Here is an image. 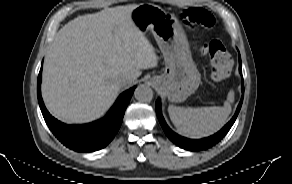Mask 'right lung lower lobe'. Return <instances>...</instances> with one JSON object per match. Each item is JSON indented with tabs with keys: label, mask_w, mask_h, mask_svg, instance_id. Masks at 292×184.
Segmentation results:
<instances>
[{
	"label": "right lung lower lobe",
	"mask_w": 292,
	"mask_h": 184,
	"mask_svg": "<svg viewBox=\"0 0 292 184\" xmlns=\"http://www.w3.org/2000/svg\"><path fill=\"white\" fill-rule=\"evenodd\" d=\"M41 71L37 80V95L46 124L66 147L78 152H92L107 146L119 130L125 109L129 104L135 87L122 93L107 116L86 125H66L50 115L41 97Z\"/></svg>",
	"instance_id": "obj_1"
}]
</instances>
